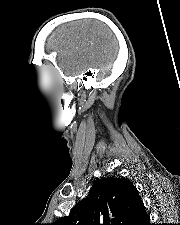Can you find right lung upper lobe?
<instances>
[{
	"label": "right lung upper lobe",
	"mask_w": 180,
	"mask_h": 225,
	"mask_svg": "<svg viewBox=\"0 0 180 225\" xmlns=\"http://www.w3.org/2000/svg\"><path fill=\"white\" fill-rule=\"evenodd\" d=\"M150 220L136 187L107 177L93 183L89 197L52 225H145Z\"/></svg>",
	"instance_id": "1"
}]
</instances>
